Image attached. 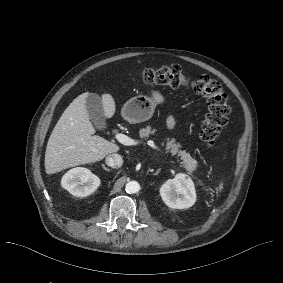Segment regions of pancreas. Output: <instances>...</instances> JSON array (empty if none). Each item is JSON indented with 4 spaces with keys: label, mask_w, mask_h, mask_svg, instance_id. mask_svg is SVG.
Returning a JSON list of instances; mask_svg holds the SVG:
<instances>
[{
    "label": "pancreas",
    "mask_w": 283,
    "mask_h": 283,
    "mask_svg": "<svg viewBox=\"0 0 283 283\" xmlns=\"http://www.w3.org/2000/svg\"><path fill=\"white\" fill-rule=\"evenodd\" d=\"M155 132L156 130L152 129L151 126H147L146 128L140 129L139 135L141 138H148L150 134H155ZM180 147L181 145L176 143L175 138L167 139L166 151L171 152L172 155L178 154L182 160L183 167L189 174H191L196 169L197 161L194 160L185 150H179Z\"/></svg>",
    "instance_id": "obj_1"
}]
</instances>
